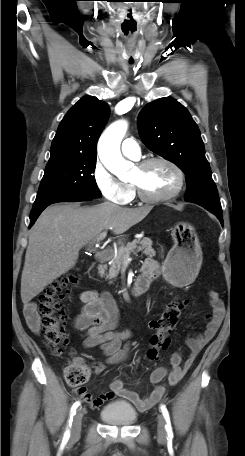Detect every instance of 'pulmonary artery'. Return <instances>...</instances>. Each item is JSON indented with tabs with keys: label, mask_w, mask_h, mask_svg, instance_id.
<instances>
[{
	"label": "pulmonary artery",
	"mask_w": 245,
	"mask_h": 456,
	"mask_svg": "<svg viewBox=\"0 0 245 456\" xmlns=\"http://www.w3.org/2000/svg\"><path fill=\"white\" fill-rule=\"evenodd\" d=\"M122 153L134 160L139 159L141 150L138 142L133 138H126L121 145Z\"/></svg>",
	"instance_id": "obj_1"
}]
</instances>
